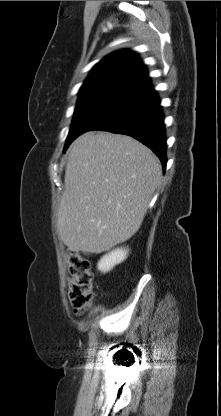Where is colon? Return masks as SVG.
I'll list each match as a JSON object with an SVG mask.
<instances>
[{"label":"colon","instance_id":"1","mask_svg":"<svg viewBox=\"0 0 221 416\" xmlns=\"http://www.w3.org/2000/svg\"><path fill=\"white\" fill-rule=\"evenodd\" d=\"M66 260L70 275L69 299L74 311L82 314L89 309L94 297L91 262L73 249L67 251Z\"/></svg>","mask_w":221,"mask_h":416}]
</instances>
